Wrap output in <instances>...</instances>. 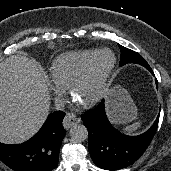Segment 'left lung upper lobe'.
Segmentation results:
<instances>
[{
	"instance_id": "obj_1",
	"label": "left lung upper lobe",
	"mask_w": 171,
	"mask_h": 171,
	"mask_svg": "<svg viewBox=\"0 0 171 171\" xmlns=\"http://www.w3.org/2000/svg\"><path fill=\"white\" fill-rule=\"evenodd\" d=\"M119 48L121 50L120 66H123L128 63H137L146 67L147 69L150 68L145 59L137 52L123 47L122 45H119Z\"/></svg>"
}]
</instances>
